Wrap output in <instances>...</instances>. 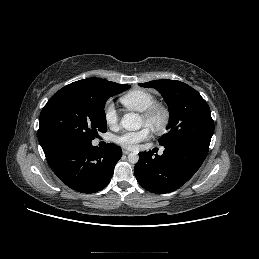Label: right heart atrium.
<instances>
[{"label": "right heart atrium", "mask_w": 259, "mask_h": 259, "mask_svg": "<svg viewBox=\"0 0 259 259\" xmlns=\"http://www.w3.org/2000/svg\"><path fill=\"white\" fill-rule=\"evenodd\" d=\"M104 120L110 127H115L118 123V112L111 101L106 102L103 109Z\"/></svg>", "instance_id": "obj_1"}]
</instances>
